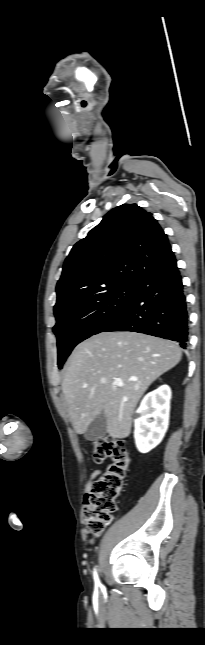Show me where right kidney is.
<instances>
[{"label":"right kidney","instance_id":"obj_1","mask_svg":"<svg viewBox=\"0 0 205 645\" xmlns=\"http://www.w3.org/2000/svg\"><path fill=\"white\" fill-rule=\"evenodd\" d=\"M171 389L162 385L142 399L134 420V439L139 452L147 453L163 439L169 425Z\"/></svg>","mask_w":205,"mask_h":645}]
</instances>
